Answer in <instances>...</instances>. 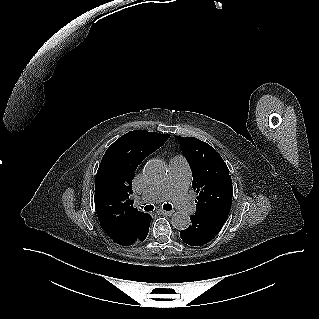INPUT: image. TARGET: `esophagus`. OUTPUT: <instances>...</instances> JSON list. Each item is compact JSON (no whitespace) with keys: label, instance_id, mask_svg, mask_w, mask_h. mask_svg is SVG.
Instances as JSON below:
<instances>
[{"label":"esophagus","instance_id":"1","mask_svg":"<svg viewBox=\"0 0 319 319\" xmlns=\"http://www.w3.org/2000/svg\"><path fill=\"white\" fill-rule=\"evenodd\" d=\"M162 214L166 215V216H171L173 214V211H165V210H161L160 211Z\"/></svg>","mask_w":319,"mask_h":319}]
</instances>
